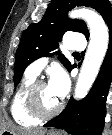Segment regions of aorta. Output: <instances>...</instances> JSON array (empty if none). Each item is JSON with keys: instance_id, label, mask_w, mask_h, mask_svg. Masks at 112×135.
<instances>
[{"instance_id": "762f6f07", "label": "aorta", "mask_w": 112, "mask_h": 135, "mask_svg": "<svg viewBox=\"0 0 112 135\" xmlns=\"http://www.w3.org/2000/svg\"><path fill=\"white\" fill-rule=\"evenodd\" d=\"M71 18L83 19L90 30V40L76 83L74 98H84L99 73L107 52L109 32L103 18L95 11L81 8L70 12Z\"/></svg>"}]
</instances>
